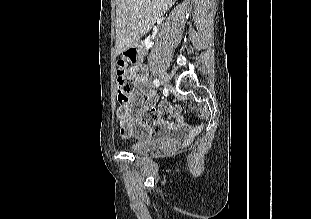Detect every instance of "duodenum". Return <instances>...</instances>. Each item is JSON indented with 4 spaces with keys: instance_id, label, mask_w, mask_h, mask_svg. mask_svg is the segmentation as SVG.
I'll return each mask as SVG.
<instances>
[{
    "instance_id": "obj_1",
    "label": "duodenum",
    "mask_w": 311,
    "mask_h": 219,
    "mask_svg": "<svg viewBox=\"0 0 311 219\" xmlns=\"http://www.w3.org/2000/svg\"><path fill=\"white\" fill-rule=\"evenodd\" d=\"M142 43H138L136 46L132 47L129 51L132 54L135 61L140 62L142 60L141 56Z\"/></svg>"
}]
</instances>
